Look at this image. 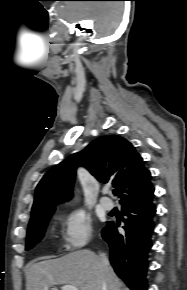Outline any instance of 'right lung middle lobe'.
Wrapping results in <instances>:
<instances>
[{
	"instance_id": "dd1d6c3e",
	"label": "right lung middle lobe",
	"mask_w": 187,
	"mask_h": 290,
	"mask_svg": "<svg viewBox=\"0 0 187 290\" xmlns=\"http://www.w3.org/2000/svg\"><path fill=\"white\" fill-rule=\"evenodd\" d=\"M54 211L46 213L29 223L27 232L26 250L31 249L44 235L45 228Z\"/></svg>"
}]
</instances>
